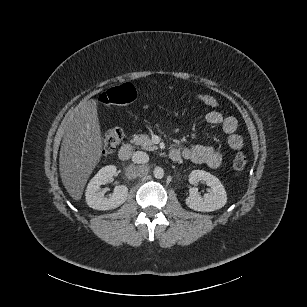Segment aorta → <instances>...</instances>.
Returning a JSON list of instances; mask_svg holds the SVG:
<instances>
[{
	"mask_svg": "<svg viewBox=\"0 0 307 307\" xmlns=\"http://www.w3.org/2000/svg\"><path fill=\"white\" fill-rule=\"evenodd\" d=\"M153 174H154V177L156 178V179H162L163 177H164V170L162 169V168H160V167H156L155 169H154V172H153Z\"/></svg>",
	"mask_w": 307,
	"mask_h": 307,
	"instance_id": "1",
	"label": "aorta"
}]
</instances>
